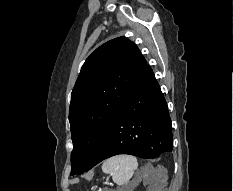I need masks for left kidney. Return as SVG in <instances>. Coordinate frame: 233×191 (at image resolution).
Returning a JSON list of instances; mask_svg holds the SVG:
<instances>
[{
    "instance_id": "5707ae66",
    "label": "left kidney",
    "mask_w": 233,
    "mask_h": 191,
    "mask_svg": "<svg viewBox=\"0 0 233 191\" xmlns=\"http://www.w3.org/2000/svg\"><path fill=\"white\" fill-rule=\"evenodd\" d=\"M142 178L147 180V181L151 180L148 175H144ZM155 181H157V182L152 185V187H151L152 190H149V191H162L161 186L163 184V180L160 179V176H157V178H155Z\"/></svg>"
}]
</instances>
